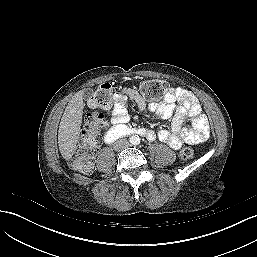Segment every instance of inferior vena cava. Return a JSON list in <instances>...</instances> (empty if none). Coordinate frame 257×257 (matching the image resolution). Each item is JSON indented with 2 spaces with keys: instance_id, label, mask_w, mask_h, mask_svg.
Instances as JSON below:
<instances>
[{
  "instance_id": "obj_1",
  "label": "inferior vena cava",
  "mask_w": 257,
  "mask_h": 257,
  "mask_svg": "<svg viewBox=\"0 0 257 257\" xmlns=\"http://www.w3.org/2000/svg\"><path fill=\"white\" fill-rule=\"evenodd\" d=\"M129 142L126 139H119L114 142L113 148L115 151H120L129 147Z\"/></svg>"
}]
</instances>
